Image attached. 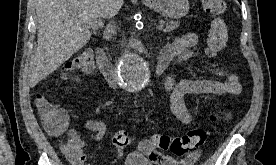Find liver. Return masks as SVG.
I'll list each match as a JSON object with an SVG mask.
<instances>
[{
  "label": "liver",
  "instance_id": "1",
  "mask_svg": "<svg viewBox=\"0 0 276 165\" xmlns=\"http://www.w3.org/2000/svg\"><path fill=\"white\" fill-rule=\"evenodd\" d=\"M122 4L123 0H36L38 45L30 64V87L88 43L91 20L115 16Z\"/></svg>",
  "mask_w": 276,
  "mask_h": 165
}]
</instances>
